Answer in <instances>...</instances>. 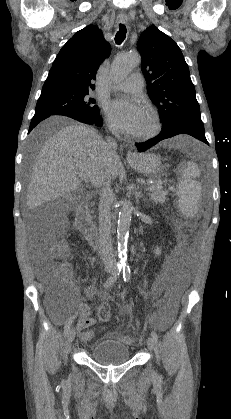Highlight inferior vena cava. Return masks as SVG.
<instances>
[{
	"mask_svg": "<svg viewBox=\"0 0 231 419\" xmlns=\"http://www.w3.org/2000/svg\"><path fill=\"white\" fill-rule=\"evenodd\" d=\"M109 130L112 134L118 138L119 131L117 128L109 125ZM106 153L112 157L116 155L117 142L114 138L108 137L106 142ZM111 180L105 179L101 185L100 198L98 205L99 214V249L101 257L106 266H114L116 264L114 251L112 248V237H111Z\"/></svg>",
	"mask_w": 231,
	"mask_h": 419,
	"instance_id": "1",
	"label": "inferior vena cava"
}]
</instances>
